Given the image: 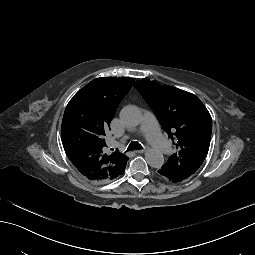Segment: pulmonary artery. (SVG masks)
<instances>
[{"label": "pulmonary artery", "instance_id": "1", "mask_svg": "<svg viewBox=\"0 0 255 255\" xmlns=\"http://www.w3.org/2000/svg\"><path fill=\"white\" fill-rule=\"evenodd\" d=\"M154 117V112H147L144 117V122L140 124V129L145 133L147 139L154 146L156 151H162L166 157L172 158L174 156V153L171 151L172 147L169 142L164 139L162 133L159 132ZM116 145V143H112V146Z\"/></svg>", "mask_w": 255, "mask_h": 255}]
</instances>
